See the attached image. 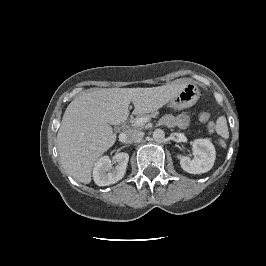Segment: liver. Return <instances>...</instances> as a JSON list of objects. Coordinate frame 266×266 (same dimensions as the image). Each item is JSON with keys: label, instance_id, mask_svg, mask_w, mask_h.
<instances>
[{"label": "liver", "instance_id": "liver-1", "mask_svg": "<svg viewBox=\"0 0 266 266\" xmlns=\"http://www.w3.org/2000/svg\"><path fill=\"white\" fill-rule=\"evenodd\" d=\"M171 83L152 88H91L66 108L57 134L60 162L77 181L89 184L95 162L116 141L111 125L124 122L129 104L145 114L168 103L183 87Z\"/></svg>", "mask_w": 266, "mask_h": 266}]
</instances>
